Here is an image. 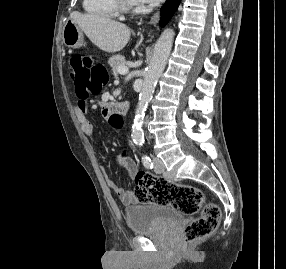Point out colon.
Returning a JSON list of instances; mask_svg holds the SVG:
<instances>
[{"label": "colon", "instance_id": "1", "mask_svg": "<svg viewBox=\"0 0 286 269\" xmlns=\"http://www.w3.org/2000/svg\"><path fill=\"white\" fill-rule=\"evenodd\" d=\"M72 79L76 89L83 97L95 94L96 85L103 82V68L85 55H74L70 60ZM114 126L124 129V116H114ZM120 121V122H119ZM126 155V150H121ZM135 197L139 202H154L169 205L185 215L201 211L199 218L191 222L184 231L183 242L189 245L211 235L220 221V209L212 202H207L204 193L198 187L178 184L170 180L138 173L135 176Z\"/></svg>", "mask_w": 286, "mask_h": 269}]
</instances>
